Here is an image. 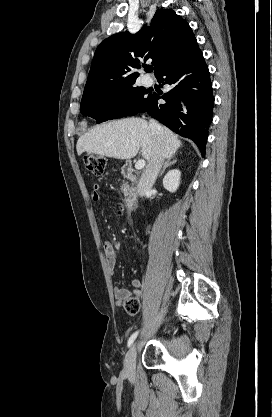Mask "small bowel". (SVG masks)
Wrapping results in <instances>:
<instances>
[{
	"instance_id": "obj_1",
	"label": "small bowel",
	"mask_w": 272,
	"mask_h": 417,
	"mask_svg": "<svg viewBox=\"0 0 272 417\" xmlns=\"http://www.w3.org/2000/svg\"><path fill=\"white\" fill-rule=\"evenodd\" d=\"M101 196V187L99 184L93 186V191L91 198L93 201L97 202L100 200ZM104 252L107 259V264L110 269L111 274L114 273V268L117 261V255L114 246L110 242L104 244ZM142 282L139 279L131 280L129 288H123L120 286L114 287V297L119 305H123L124 301L128 298L139 299L142 294Z\"/></svg>"
}]
</instances>
